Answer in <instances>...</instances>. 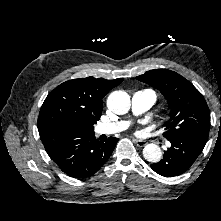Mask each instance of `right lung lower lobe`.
Here are the masks:
<instances>
[{
    "instance_id": "obj_1",
    "label": "right lung lower lobe",
    "mask_w": 221,
    "mask_h": 221,
    "mask_svg": "<svg viewBox=\"0 0 221 221\" xmlns=\"http://www.w3.org/2000/svg\"><path fill=\"white\" fill-rule=\"evenodd\" d=\"M39 135L49 157L68 176L87 178L94 175L112 154L117 138L95 139L93 133L64 128H44Z\"/></svg>"
}]
</instances>
